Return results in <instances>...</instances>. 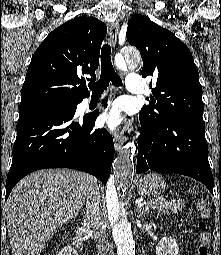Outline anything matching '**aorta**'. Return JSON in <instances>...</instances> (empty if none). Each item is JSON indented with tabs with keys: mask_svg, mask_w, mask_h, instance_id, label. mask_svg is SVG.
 I'll use <instances>...</instances> for the list:
<instances>
[{
	"mask_svg": "<svg viewBox=\"0 0 221 255\" xmlns=\"http://www.w3.org/2000/svg\"><path fill=\"white\" fill-rule=\"evenodd\" d=\"M115 61L120 68L126 66L138 68L142 65L139 53L133 48H126L116 56ZM135 153L134 145L128 144L125 147L116 159V168L107 183V211L118 255H135V242L131 225L127 220L126 211L123 207V197L134 174Z\"/></svg>",
	"mask_w": 221,
	"mask_h": 255,
	"instance_id": "aorta-1",
	"label": "aorta"
}]
</instances>
